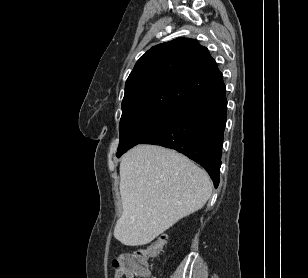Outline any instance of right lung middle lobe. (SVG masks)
I'll list each match as a JSON object with an SVG mask.
<instances>
[{
	"mask_svg": "<svg viewBox=\"0 0 308 278\" xmlns=\"http://www.w3.org/2000/svg\"><path fill=\"white\" fill-rule=\"evenodd\" d=\"M178 110H149L122 119L117 157L162 129Z\"/></svg>",
	"mask_w": 308,
	"mask_h": 278,
	"instance_id": "obj_1",
	"label": "right lung middle lobe"
}]
</instances>
